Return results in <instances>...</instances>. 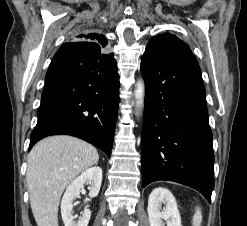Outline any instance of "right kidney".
Segmentation results:
<instances>
[{"mask_svg":"<svg viewBox=\"0 0 247 226\" xmlns=\"http://www.w3.org/2000/svg\"><path fill=\"white\" fill-rule=\"evenodd\" d=\"M89 184V197H96L102 183V169L98 166L86 169L75 178L67 187L61 201V215L65 226H87L91 217V211L86 207L78 221H74V200L80 196V190L84 184Z\"/></svg>","mask_w":247,"mask_h":226,"instance_id":"obj_1","label":"right kidney"}]
</instances>
